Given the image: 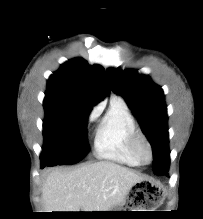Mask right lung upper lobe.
<instances>
[{
	"instance_id": "right-lung-upper-lobe-1",
	"label": "right lung upper lobe",
	"mask_w": 203,
	"mask_h": 219,
	"mask_svg": "<svg viewBox=\"0 0 203 219\" xmlns=\"http://www.w3.org/2000/svg\"><path fill=\"white\" fill-rule=\"evenodd\" d=\"M47 82L46 94L77 100L91 107L110 91L104 69L99 65L90 66L81 58L65 62Z\"/></svg>"
}]
</instances>
